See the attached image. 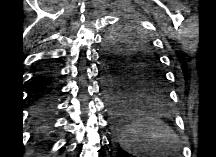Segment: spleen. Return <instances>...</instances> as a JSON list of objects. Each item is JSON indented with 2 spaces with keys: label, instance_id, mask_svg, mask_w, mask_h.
Segmentation results:
<instances>
[{
  "label": "spleen",
  "instance_id": "obj_1",
  "mask_svg": "<svg viewBox=\"0 0 216 157\" xmlns=\"http://www.w3.org/2000/svg\"><path fill=\"white\" fill-rule=\"evenodd\" d=\"M121 147L134 157L154 154L164 148H176L177 136L164 123L153 117L131 121L121 134Z\"/></svg>",
  "mask_w": 216,
  "mask_h": 157
}]
</instances>
